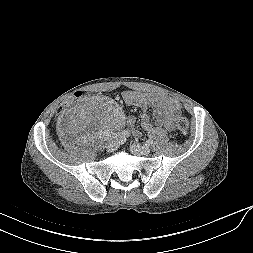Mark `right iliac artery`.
Segmentation results:
<instances>
[{"label":"right iliac artery","mask_w":253,"mask_h":253,"mask_svg":"<svg viewBox=\"0 0 253 253\" xmlns=\"http://www.w3.org/2000/svg\"><path fill=\"white\" fill-rule=\"evenodd\" d=\"M130 135V133L128 132V131H126V130H123L120 134H119V136L120 137H128Z\"/></svg>","instance_id":"right-iliac-artery-1"}]
</instances>
